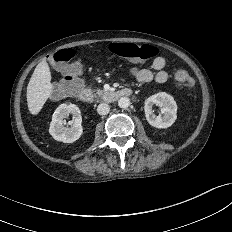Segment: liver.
<instances>
[{
    "label": "liver",
    "mask_w": 232,
    "mask_h": 232,
    "mask_svg": "<svg viewBox=\"0 0 232 232\" xmlns=\"http://www.w3.org/2000/svg\"><path fill=\"white\" fill-rule=\"evenodd\" d=\"M51 72L45 59L36 66L27 86V104L32 115H37L51 96Z\"/></svg>",
    "instance_id": "obj_1"
}]
</instances>
